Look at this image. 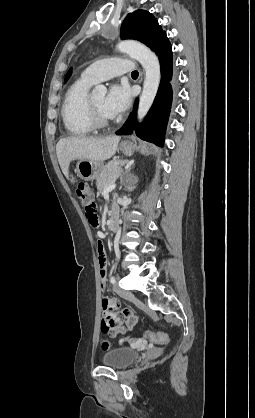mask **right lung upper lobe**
Returning <instances> with one entry per match:
<instances>
[{
	"label": "right lung upper lobe",
	"instance_id": "obj_1",
	"mask_svg": "<svg viewBox=\"0 0 255 418\" xmlns=\"http://www.w3.org/2000/svg\"><path fill=\"white\" fill-rule=\"evenodd\" d=\"M70 75H71V69L68 71V73H67V75L65 77V82L68 80V78L70 77Z\"/></svg>",
	"mask_w": 255,
	"mask_h": 418
}]
</instances>
